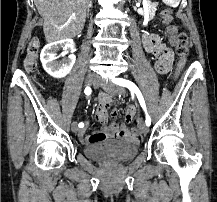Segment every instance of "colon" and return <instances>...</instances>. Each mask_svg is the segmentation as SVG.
<instances>
[{
  "mask_svg": "<svg viewBox=\"0 0 217 202\" xmlns=\"http://www.w3.org/2000/svg\"><path fill=\"white\" fill-rule=\"evenodd\" d=\"M161 17L163 23L166 25V32L169 35L171 42L176 50L177 55L180 58L178 64V70L182 69L189 53L190 39L184 32H178L175 25H171V10L164 8L161 10ZM40 46V40L38 37H33L27 47L26 57L24 60V68L29 74H33L37 69V55ZM138 127H131V132H138Z\"/></svg>",
  "mask_w": 217,
  "mask_h": 202,
  "instance_id": "colon-1",
  "label": "colon"
}]
</instances>
